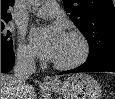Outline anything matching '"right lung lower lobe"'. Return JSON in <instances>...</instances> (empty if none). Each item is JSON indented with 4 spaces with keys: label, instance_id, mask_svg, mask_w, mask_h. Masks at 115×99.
Masks as SVG:
<instances>
[{
    "label": "right lung lower lobe",
    "instance_id": "1",
    "mask_svg": "<svg viewBox=\"0 0 115 99\" xmlns=\"http://www.w3.org/2000/svg\"><path fill=\"white\" fill-rule=\"evenodd\" d=\"M14 52H1V72H9L14 64Z\"/></svg>",
    "mask_w": 115,
    "mask_h": 99
}]
</instances>
